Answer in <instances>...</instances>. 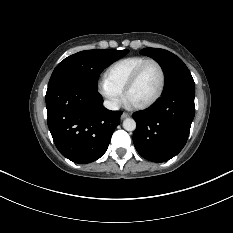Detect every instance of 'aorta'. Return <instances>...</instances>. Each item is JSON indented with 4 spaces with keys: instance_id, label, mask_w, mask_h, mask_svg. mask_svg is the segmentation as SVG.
<instances>
[{
    "instance_id": "762f6f07",
    "label": "aorta",
    "mask_w": 233,
    "mask_h": 233,
    "mask_svg": "<svg viewBox=\"0 0 233 233\" xmlns=\"http://www.w3.org/2000/svg\"><path fill=\"white\" fill-rule=\"evenodd\" d=\"M123 128L127 131H134L136 129V122L132 118H126L123 121Z\"/></svg>"
}]
</instances>
